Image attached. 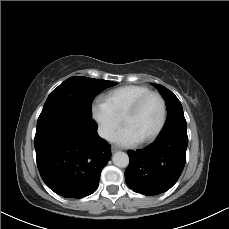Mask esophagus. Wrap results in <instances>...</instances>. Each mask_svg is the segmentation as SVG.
Listing matches in <instances>:
<instances>
[{"instance_id": "1", "label": "esophagus", "mask_w": 229, "mask_h": 229, "mask_svg": "<svg viewBox=\"0 0 229 229\" xmlns=\"http://www.w3.org/2000/svg\"><path fill=\"white\" fill-rule=\"evenodd\" d=\"M120 149L118 148V147H116V146H112L111 147V151H112V153H115V152H117V151H119Z\"/></svg>"}]
</instances>
